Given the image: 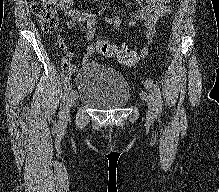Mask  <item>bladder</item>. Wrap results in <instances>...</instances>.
<instances>
[{
  "instance_id": "31cf9c89",
  "label": "bladder",
  "mask_w": 219,
  "mask_h": 192,
  "mask_svg": "<svg viewBox=\"0 0 219 192\" xmlns=\"http://www.w3.org/2000/svg\"><path fill=\"white\" fill-rule=\"evenodd\" d=\"M77 99L99 110L120 109L131 98L127 80L116 70L99 63L83 65L77 72Z\"/></svg>"
}]
</instances>
